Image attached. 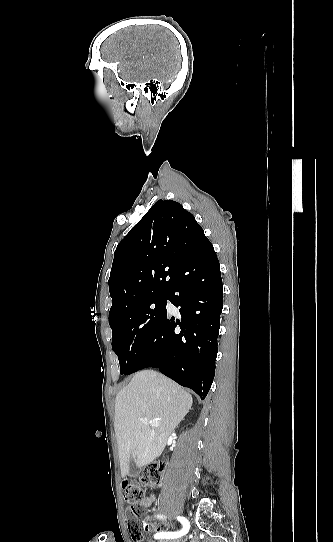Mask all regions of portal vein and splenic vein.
Segmentation results:
<instances>
[{"label":"portal vein and splenic vein","mask_w":333,"mask_h":542,"mask_svg":"<svg viewBox=\"0 0 333 542\" xmlns=\"http://www.w3.org/2000/svg\"><path fill=\"white\" fill-rule=\"evenodd\" d=\"M141 422H143V424H151V426H160V422L159 420H147V418H140Z\"/></svg>","instance_id":"1"}]
</instances>
